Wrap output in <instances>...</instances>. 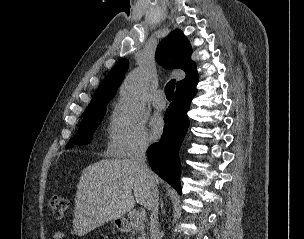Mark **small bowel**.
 <instances>
[{
	"mask_svg": "<svg viewBox=\"0 0 304 239\" xmlns=\"http://www.w3.org/2000/svg\"><path fill=\"white\" fill-rule=\"evenodd\" d=\"M65 234L62 231H57L53 234L52 239H63Z\"/></svg>",
	"mask_w": 304,
	"mask_h": 239,
	"instance_id": "c3829d8e",
	"label": "small bowel"
}]
</instances>
